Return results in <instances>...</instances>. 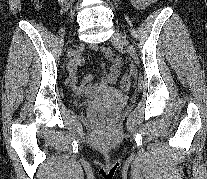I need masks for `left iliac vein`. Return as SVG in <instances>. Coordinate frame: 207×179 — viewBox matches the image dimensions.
Listing matches in <instances>:
<instances>
[{"label": "left iliac vein", "mask_w": 207, "mask_h": 179, "mask_svg": "<svg viewBox=\"0 0 207 179\" xmlns=\"http://www.w3.org/2000/svg\"><path fill=\"white\" fill-rule=\"evenodd\" d=\"M112 42L124 45L126 44V39L121 33L116 32L112 37Z\"/></svg>", "instance_id": "1"}]
</instances>
